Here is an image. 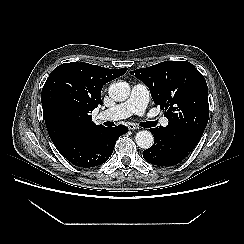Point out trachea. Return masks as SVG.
Returning a JSON list of instances; mask_svg holds the SVG:
<instances>
[{"label": "trachea", "mask_w": 244, "mask_h": 244, "mask_svg": "<svg viewBox=\"0 0 244 244\" xmlns=\"http://www.w3.org/2000/svg\"><path fill=\"white\" fill-rule=\"evenodd\" d=\"M156 124H157V121H149V122H143L140 125L145 128H150V127H154ZM106 125L113 126L114 124L111 122H106Z\"/></svg>", "instance_id": "obj_1"}]
</instances>
